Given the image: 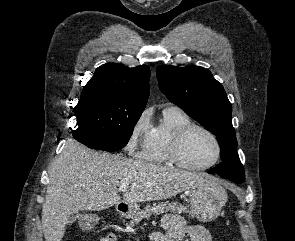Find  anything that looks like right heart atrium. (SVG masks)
Listing matches in <instances>:
<instances>
[{"instance_id": "obj_1", "label": "right heart atrium", "mask_w": 295, "mask_h": 241, "mask_svg": "<svg viewBox=\"0 0 295 241\" xmlns=\"http://www.w3.org/2000/svg\"><path fill=\"white\" fill-rule=\"evenodd\" d=\"M151 112L143 110L133 121L126 143V149L130 154H135L143 149L151 131Z\"/></svg>"}]
</instances>
